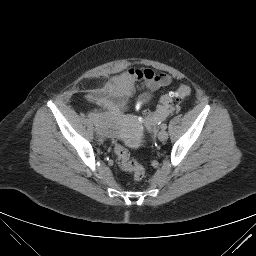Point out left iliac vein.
<instances>
[{
  "mask_svg": "<svg viewBox=\"0 0 256 256\" xmlns=\"http://www.w3.org/2000/svg\"><path fill=\"white\" fill-rule=\"evenodd\" d=\"M168 138V133L165 129H162L159 133H158V139L160 141H166Z\"/></svg>",
  "mask_w": 256,
  "mask_h": 256,
  "instance_id": "obj_1",
  "label": "left iliac vein"
}]
</instances>
